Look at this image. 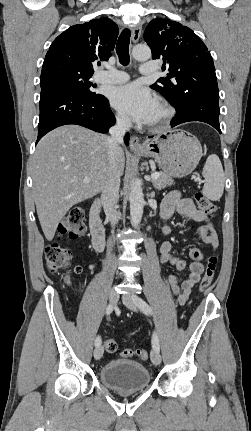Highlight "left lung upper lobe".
I'll use <instances>...</instances> for the list:
<instances>
[{"instance_id": "left-lung-upper-lobe-1", "label": "left lung upper lobe", "mask_w": 251, "mask_h": 431, "mask_svg": "<svg viewBox=\"0 0 251 431\" xmlns=\"http://www.w3.org/2000/svg\"><path fill=\"white\" fill-rule=\"evenodd\" d=\"M144 39L151 48L153 59L167 64L169 73L150 87L160 92L176 110L191 98H219L212 56L206 45L188 27L168 19L150 21Z\"/></svg>"}]
</instances>
